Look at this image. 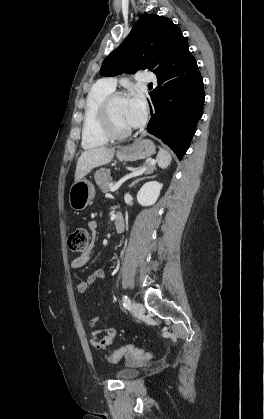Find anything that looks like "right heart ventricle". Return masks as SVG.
<instances>
[{"mask_svg": "<svg viewBox=\"0 0 264 419\" xmlns=\"http://www.w3.org/2000/svg\"><path fill=\"white\" fill-rule=\"evenodd\" d=\"M111 92H113V89L103 82H98L91 87L87 94L81 137V144L84 149L97 148L109 141L101 128L99 108L103 99Z\"/></svg>", "mask_w": 264, "mask_h": 419, "instance_id": "obj_1", "label": "right heart ventricle"}]
</instances>
